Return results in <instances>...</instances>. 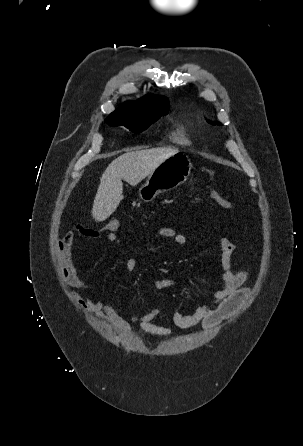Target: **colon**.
I'll use <instances>...</instances> for the list:
<instances>
[{"label":"colon","instance_id":"1","mask_svg":"<svg viewBox=\"0 0 303 446\" xmlns=\"http://www.w3.org/2000/svg\"><path fill=\"white\" fill-rule=\"evenodd\" d=\"M210 198L217 206L223 209H230L232 207L230 201L221 196L216 191L210 192ZM120 227H121V221L119 219H113L105 224V226L101 229V232L104 234H115Z\"/></svg>","mask_w":303,"mask_h":446}]
</instances>
